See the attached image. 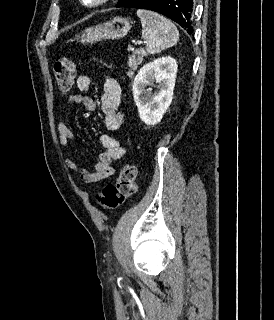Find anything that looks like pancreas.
<instances>
[{"label": "pancreas", "instance_id": "1", "mask_svg": "<svg viewBox=\"0 0 274 320\" xmlns=\"http://www.w3.org/2000/svg\"><path fill=\"white\" fill-rule=\"evenodd\" d=\"M144 56H147L145 50H135L132 56H128L127 76H129V78H132V76H134L135 70H137L141 62H143Z\"/></svg>", "mask_w": 274, "mask_h": 320}]
</instances>
